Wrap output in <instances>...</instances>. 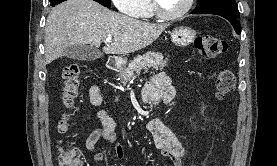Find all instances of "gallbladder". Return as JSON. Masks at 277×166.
I'll return each instance as SVG.
<instances>
[{"label":"gallbladder","mask_w":277,"mask_h":166,"mask_svg":"<svg viewBox=\"0 0 277 166\" xmlns=\"http://www.w3.org/2000/svg\"><path fill=\"white\" fill-rule=\"evenodd\" d=\"M66 56L72 59L82 61H92L100 58L101 53L90 45H73L69 46L66 51Z\"/></svg>","instance_id":"gallbladder-1"}]
</instances>
